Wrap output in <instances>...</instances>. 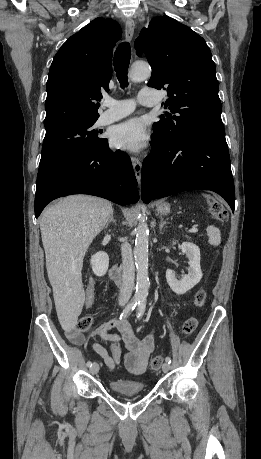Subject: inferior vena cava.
<instances>
[{
	"mask_svg": "<svg viewBox=\"0 0 261 459\" xmlns=\"http://www.w3.org/2000/svg\"><path fill=\"white\" fill-rule=\"evenodd\" d=\"M122 254V274L121 285L118 301L120 304H125L129 301L134 287V261L132 248L128 242L121 245Z\"/></svg>",
	"mask_w": 261,
	"mask_h": 459,
	"instance_id": "inferior-vena-cava-1",
	"label": "inferior vena cava"
}]
</instances>
